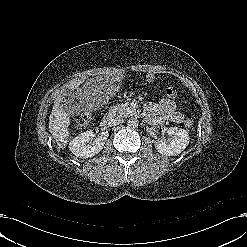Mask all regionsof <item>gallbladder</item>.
<instances>
[{
    "mask_svg": "<svg viewBox=\"0 0 247 247\" xmlns=\"http://www.w3.org/2000/svg\"><path fill=\"white\" fill-rule=\"evenodd\" d=\"M62 100L64 101V110L69 113V114H72L74 115L75 112H76V107L72 104V90L70 88H66L61 96Z\"/></svg>",
    "mask_w": 247,
    "mask_h": 247,
    "instance_id": "1",
    "label": "gallbladder"
}]
</instances>
